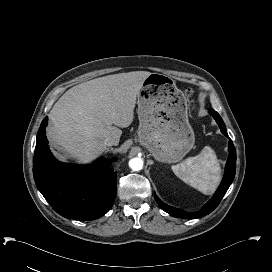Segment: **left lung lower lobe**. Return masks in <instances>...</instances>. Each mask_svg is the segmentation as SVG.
<instances>
[{
	"instance_id": "obj_1",
	"label": "left lung lower lobe",
	"mask_w": 272,
	"mask_h": 272,
	"mask_svg": "<svg viewBox=\"0 0 272 272\" xmlns=\"http://www.w3.org/2000/svg\"><path fill=\"white\" fill-rule=\"evenodd\" d=\"M209 113L214 117V119L218 123V125L221 129V132L229 138L226 128H225V124H224L222 118L220 117V115L215 110H209ZM235 170H236V151H235V147L230 139V141H229V158L227 160L224 178H223L219 188L215 192L214 196L211 198V200L208 203H206L203 206V208L199 212L188 213V212H184L180 209L171 207V206L163 203L155 195L156 202L159 204V206L164 211H166L167 213H169L170 215H172L174 217L184 218V219H195V218L205 216L216 208V206L219 204V202L221 201V199L225 195L226 191L228 190L229 186L231 185V183L234 179Z\"/></svg>"
}]
</instances>
